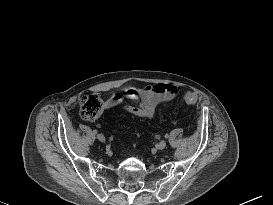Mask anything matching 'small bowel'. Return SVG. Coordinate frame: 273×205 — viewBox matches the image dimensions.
I'll return each instance as SVG.
<instances>
[{
  "label": "small bowel",
  "instance_id": "obj_1",
  "mask_svg": "<svg viewBox=\"0 0 273 205\" xmlns=\"http://www.w3.org/2000/svg\"><path fill=\"white\" fill-rule=\"evenodd\" d=\"M178 90L171 84H150L143 88L134 86L111 94L104 102V108L111 110L123 101L136 102V106H125L124 111L139 118H152L156 108L176 98Z\"/></svg>",
  "mask_w": 273,
  "mask_h": 205
}]
</instances>
